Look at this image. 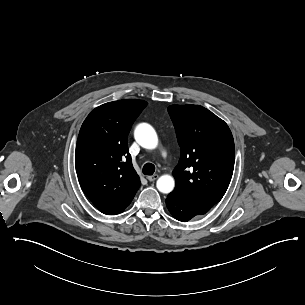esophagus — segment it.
Here are the masks:
<instances>
[{
  "instance_id": "obj_1",
  "label": "esophagus",
  "mask_w": 305,
  "mask_h": 305,
  "mask_svg": "<svg viewBox=\"0 0 305 305\" xmlns=\"http://www.w3.org/2000/svg\"><path fill=\"white\" fill-rule=\"evenodd\" d=\"M158 177H159V175L155 174V175L148 176L147 179H148L149 181H154V180H156Z\"/></svg>"
}]
</instances>
